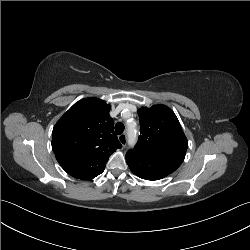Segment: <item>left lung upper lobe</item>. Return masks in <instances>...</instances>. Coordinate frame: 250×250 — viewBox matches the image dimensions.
<instances>
[{"label": "left lung upper lobe", "instance_id": "1", "mask_svg": "<svg viewBox=\"0 0 250 250\" xmlns=\"http://www.w3.org/2000/svg\"><path fill=\"white\" fill-rule=\"evenodd\" d=\"M138 115L141 134L134 149L126 153L128 166L138 157H145L156 167L174 172L183 162L188 147L176 115L165 105L140 108Z\"/></svg>", "mask_w": 250, "mask_h": 250}]
</instances>
